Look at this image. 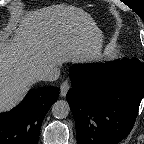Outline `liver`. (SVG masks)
Returning <instances> with one entry per match:
<instances>
[{"mask_svg": "<svg viewBox=\"0 0 144 144\" xmlns=\"http://www.w3.org/2000/svg\"><path fill=\"white\" fill-rule=\"evenodd\" d=\"M8 32L9 38H0V112L16 106L46 69L102 57L101 30L75 6L17 10Z\"/></svg>", "mask_w": 144, "mask_h": 144, "instance_id": "liver-1", "label": "liver"}]
</instances>
